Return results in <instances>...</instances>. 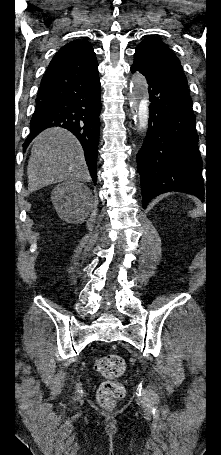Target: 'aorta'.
<instances>
[{
  "label": "aorta",
  "instance_id": "obj_1",
  "mask_svg": "<svg viewBox=\"0 0 221 455\" xmlns=\"http://www.w3.org/2000/svg\"><path fill=\"white\" fill-rule=\"evenodd\" d=\"M129 104L135 127L142 134L148 127L149 100L144 92L143 78L138 73L134 74L130 84Z\"/></svg>",
  "mask_w": 221,
  "mask_h": 455
}]
</instances>
